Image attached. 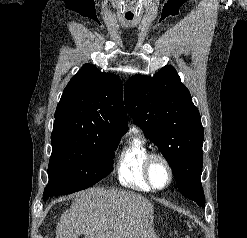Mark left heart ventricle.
<instances>
[{
  "instance_id": "left-heart-ventricle-1",
  "label": "left heart ventricle",
  "mask_w": 247,
  "mask_h": 238,
  "mask_svg": "<svg viewBox=\"0 0 247 238\" xmlns=\"http://www.w3.org/2000/svg\"><path fill=\"white\" fill-rule=\"evenodd\" d=\"M151 176L158 186L164 185L168 180V170L160 161H155L151 167Z\"/></svg>"
}]
</instances>
